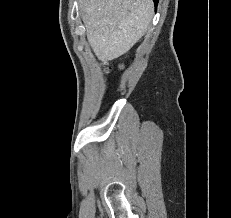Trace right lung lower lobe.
Masks as SVG:
<instances>
[{"instance_id":"obj_1","label":"right lung lower lobe","mask_w":231,"mask_h":218,"mask_svg":"<svg viewBox=\"0 0 231 218\" xmlns=\"http://www.w3.org/2000/svg\"><path fill=\"white\" fill-rule=\"evenodd\" d=\"M155 3V6H157L159 0H153Z\"/></svg>"}]
</instances>
